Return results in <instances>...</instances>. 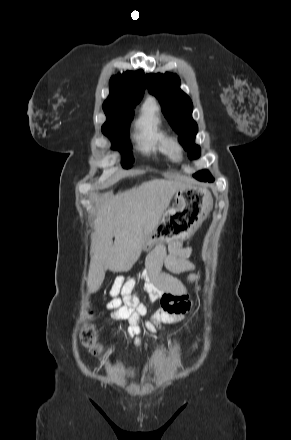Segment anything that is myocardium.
Returning a JSON list of instances; mask_svg holds the SVG:
<instances>
[{"label":"myocardium","mask_w":291,"mask_h":440,"mask_svg":"<svg viewBox=\"0 0 291 440\" xmlns=\"http://www.w3.org/2000/svg\"><path fill=\"white\" fill-rule=\"evenodd\" d=\"M169 151H170V156L174 159V160H179L180 156H181V147L180 145L175 141V140H170L169 141Z\"/></svg>","instance_id":"1"}]
</instances>
